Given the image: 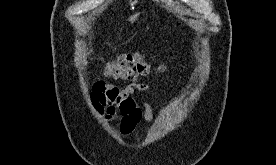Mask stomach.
<instances>
[{
	"label": "stomach",
	"instance_id": "0dacf381",
	"mask_svg": "<svg viewBox=\"0 0 276 165\" xmlns=\"http://www.w3.org/2000/svg\"><path fill=\"white\" fill-rule=\"evenodd\" d=\"M139 16H140V13H135V14L129 16L127 21L133 23L134 21H136L138 19Z\"/></svg>",
	"mask_w": 276,
	"mask_h": 165
}]
</instances>
